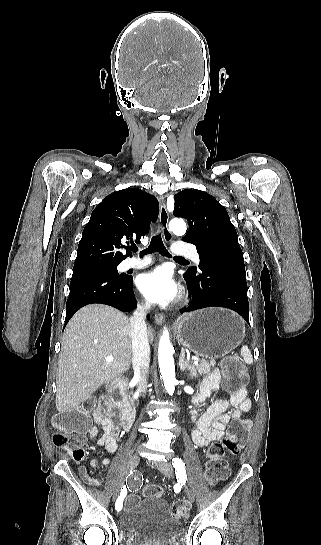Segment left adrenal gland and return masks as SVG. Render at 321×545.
<instances>
[{
    "label": "left adrenal gland",
    "instance_id": "a2214340",
    "mask_svg": "<svg viewBox=\"0 0 321 545\" xmlns=\"http://www.w3.org/2000/svg\"><path fill=\"white\" fill-rule=\"evenodd\" d=\"M179 367L181 371H190V377H195L196 371L193 367V365H190L189 361H185V351H181L180 359H179Z\"/></svg>",
    "mask_w": 321,
    "mask_h": 545
}]
</instances>
